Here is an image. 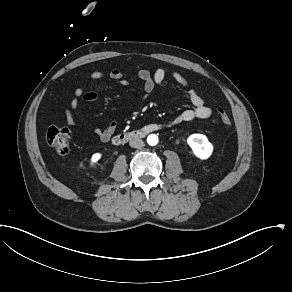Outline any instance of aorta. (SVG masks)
<instances>
[{
  "label": "aorta",
  "instance_id": "aorta-1",
  "mask_svg": "<svg viewBox=\"0 0 292 292\" xmlns=\"http://www.w3.org/2000/svg\"><path fill=\"white\" fill-rule=\"evenodd\" d=\"M147 142L149 145H156L158 143V137L155 134H151L147 137Z\"/></svg>",
  "mask_w": 292,
  "mask_h": 292
}]
</instances>
